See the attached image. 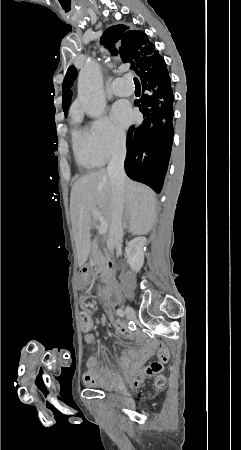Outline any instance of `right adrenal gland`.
Listing matches in <instances>:
<instances>
[{
    "label": "right adrenal gland",
    "instance_id": "obj_1",
    "mask_svg": "<svg viewBox=\"0 0 241 450\" xmlns=\"http://www.w3.org/2000/svg\"><path fill=\"white\" fill-rule=\"evenodd\" d=\"M123 226H124V228H126V226H128V220H127V218H124Z\"/></svg>",
    "mask_w": 241,
    "mask_h": 450
}]
</instances>
